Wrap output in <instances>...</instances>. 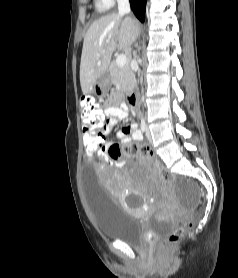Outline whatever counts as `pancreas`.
Masks as SVG:
<instances>
[{
  "label": "pancreas",
  "instance_id": "obj_1",
  "mask_svg": "<svg viewBox=\"0 0 238 278\" xmlns=\"http://www.w3.org/2000/svg\"><path fill=\"white\" fill-rule=\"evenodd\" d=\"M112 83L122 92L131 91L136 83L135 75L129 64L119 67L116 61H113L109 68Z\"/></svg>",
  "mask_w": 238,
  "mask_h": 278
}]
</instances>
